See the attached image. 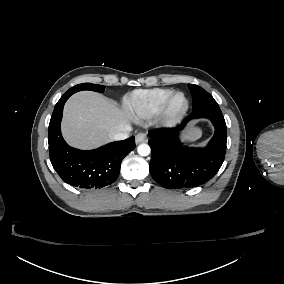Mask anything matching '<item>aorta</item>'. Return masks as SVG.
Masks as SVG:
<instances>
[{"instance_id": "1", "label": "aorta", "mask_w": 284, "mask_h": 284, "mask_svg": "<svg viewBox=\"0 0 284 284\" xmlns=\"http://www.w3.org/2000/svg\"><path fill=\"white\" fill-rule=\"evenodd\" d=\"M137 152L140 156H148L151 152V149L148 144L143 143L137 147Z\"/></svg>"}]
</instances>
